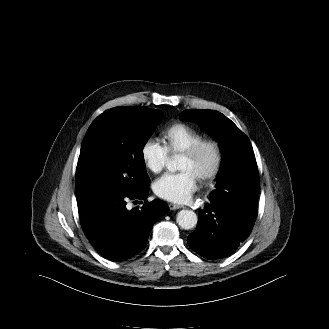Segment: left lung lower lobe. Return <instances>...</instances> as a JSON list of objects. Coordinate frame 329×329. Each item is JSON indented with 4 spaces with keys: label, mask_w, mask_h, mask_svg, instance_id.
Returning a JSON list of instances; mask_svg holds the SVG:
<instances>
[{
    "label": "left lung lower lobe",
    "mask_w": 329,
    "mask_h": 329,
    "mask_svg": "<svg viewBox=\"0 0 329 329\" xmlns=\"http://www.w3.org/2000/svg\"><path fill=\"white\" fill-rule=\"evenodd\" d=\"M228 189L224 199L210 200L199 210L197 228L187 239L191 249L207 259L230 255L250 235L260 191L257 166Z\"/></svg>",
    "instance_id": "1"
}]
</instances>
